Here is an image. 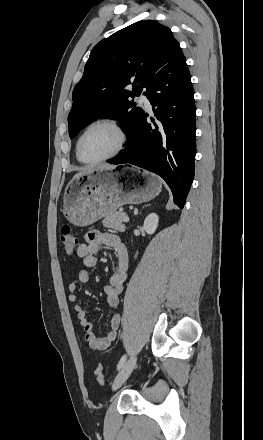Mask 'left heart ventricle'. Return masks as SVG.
I'll use <instances>...</instances> for the list:
<instances>
[{"instance_id": "left-heart-ventricle-1", "label": "left heart ventricle", "mask_w": 263, "mask_h": 440, "mask_svg": "<svg viewBox=\"0 0 263 440\" xmlns=\"http://www.w3.org/2000/svg\"><path fill=\"white\" fill-rule=\"evenodd\" d=\"M119 143L117 131L110 125L92 127L81 143V155L86 160H97L112 153Z\"/></svg>"}]
</instances>
